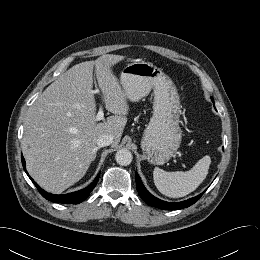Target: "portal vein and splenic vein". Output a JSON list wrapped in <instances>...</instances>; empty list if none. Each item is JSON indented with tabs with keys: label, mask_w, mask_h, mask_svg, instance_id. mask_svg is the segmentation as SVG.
<instances>
[{
	"label": "portal vein and splenic vein",
	"mask_w": 260,
	"mask_h": 260,
	"mask_svg": "<svg viewBox=\"0 0 260 260\" xmlns=\"http://www.w3.org/2000/svg\"><path fill=\"white\" fill-rule=\"evenodd\" d=\"M96 92H97V90H96ZM103 117H104V112H103V109L100 108L99 111H98V113H97V115H96V121L102 120Z\"/></svg>",
	"instance_id": "obj_1"
}]
</instances>
